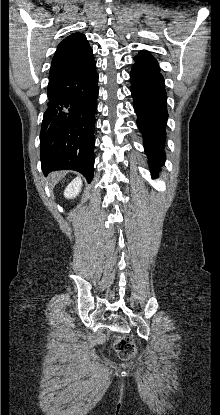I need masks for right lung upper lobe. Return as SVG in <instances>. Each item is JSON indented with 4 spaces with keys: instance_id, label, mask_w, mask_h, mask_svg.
<instances>
[{
    "instance_id": "cb5924a9",
    "label": "right lung upper lobe",
    "mask_w": 220,
    "mask_h": 415,
    "mask_svg": "<svg viewBox=\"0 0 220 415\" xmlns=\"http://www.w3.org/2000/svg\"><path fill=\"white\" fill-rule=\"evenodd\" d=\"M94 59L92 48L82 33L69 35L60 42L53 57L49 78L80 68Z\"/></svg>"
}]
</instances>
